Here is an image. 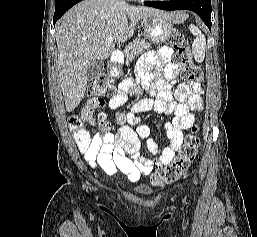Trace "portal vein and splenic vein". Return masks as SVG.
<instances>
[{"label": "portal vein and splenic vein", "instance_id": "1", "mask_svg": "<svg viewBox=\"0 0 257 237\" xmlns=\"http://www.w3.org/2000/svg\"><path fill=\"white\" fill-rule=\"evenodd\" d=\"M114 41L113 37H106L105 42L106 43H112Z\"/></svg>", "mask_w": 257, "mask_h": 237}]
</instances>
